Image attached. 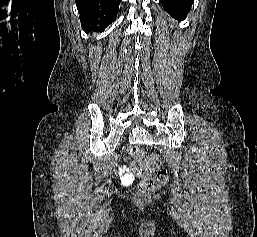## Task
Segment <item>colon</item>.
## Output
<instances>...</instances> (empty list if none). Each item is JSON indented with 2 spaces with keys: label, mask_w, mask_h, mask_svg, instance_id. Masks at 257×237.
Wrapping results in <instances>:
<instances>
[{
  "label": "colon",
  "mask_w": 257,
  "mask_h": 237,
  "mask_svg": "<svg viewBox=\"0 0 257 237\" xmlns=\"http://www.w3.org/2000/svg\"><path fill=\"white\" fill-rule=\"evenodd\" d=\"M127 152L135 159L132 164L134 172L142 178L138 184L141 196H147L167 183L168 172L161 168V161L157 155L146 157V151L136 145L130 146Z\"/></svg>",
  "instance_id": "1"
}]
</instances>
